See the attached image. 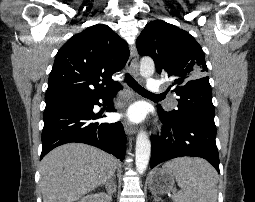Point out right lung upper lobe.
<instances>
[{
	"label": "right lung upper lobe",
	"mask_w": 255,
	"mask_h": 202,
	"mask_svg": "<svg viewBox=\"0 0 255 202\" xmlns=\"http://www.w3.org/2000/svg\"><path fill=\"white\" fill-rule=\"evenodd\" d=\"M128 57L127 43L107 25L96 24L74 35L56 55L45 109L114 91L119 85L112 75L123 69Z\"/></svg>",
	"instance_id": "cb5924a9"
}]
</instances>
